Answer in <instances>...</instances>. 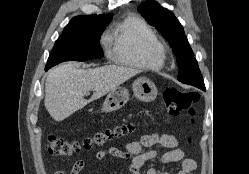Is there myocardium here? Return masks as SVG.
<instances>
[{"label":"myocardium","instance_id":"obj_1","mask_svg":"<svg viewBox=\"0 0 249 174\" xmlns=\"http://www.w3.org/2000/svg\"><path fill=\"white\" fill-rule=\"evenodd\" d=\"M154 53L157 54L159 57L164 59L166 54V48L162 44H160L158 47L154 49Z\"/></svg>","mask_w":249,"mask_h":174}]
</instances>
